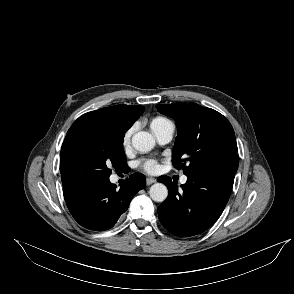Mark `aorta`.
<instances>
[{
	"instance_id": "obj_1",
	"label": "aorta",
	"mask_w": 294,
	"mask_h": 294,
	"mask_svg": "<svg viewBox=\"0 0 294 294\" xmlns=\"http://www.w3.org/2000/svg\"><path fill=\"white\" fill-rule=\"evenodd\" d=\"M132 145L138 152L146 153L153 149L155 139L150 133L140 131L133 135ZM149 194L153 201L163 202L168 196V189L162 183H155L150 187Z\"/></svg>"
}]
</instances>
